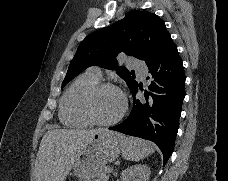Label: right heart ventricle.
<instances>
[{
    "label": "right heart ventricle",
    "mask_w": 228,
    "mask_h": 181,
    "mask_svg": "<svg viewBox=\"0 0 228 181\" xmlns=\"http://www.w3.org/2000/svg\"><path fill=\"white\" fill-rule=\"evenodd\" d=\"M98 79V76L83 74L73 81L62 102L60 117L63 122L75 126L91 124L84 115L82 102L88 89L97 83Z\"/></svg>",
    "instance_id": "obj_1"
}]
</instances>
